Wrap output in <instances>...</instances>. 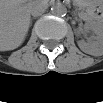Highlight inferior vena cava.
Segmentation results:
<instances>
[{
	"instance_id": "602c4592",
	"label": "inferior vena cava",
	"mask_w": 103,
	"mask_h": 103,
	"mask_svg": "<svg viewBox=\"0 0 103 103\" xmlns=\"http://www.w3.org/2000/svg\"><path fill=\"white\" fill-rule=\"evenodd\" d=\"M47 9V5L45 4L44 1H35L32 3L30 7V13L34 16L37 17L41 14H43Z\"/></svg>"
}]
</instances>
